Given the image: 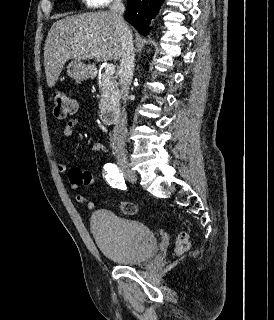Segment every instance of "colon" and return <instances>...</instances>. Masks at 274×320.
Segmentation results:
<instances>
[{
	"mask_svg": "<svg viewBox=\"0 0 274 320\" xmlns=\"http://www.w3.org/2000/svg\"><path fill=\"white\" fill-rule=\"evenodd\" d=\"M52 114L56 120L63 121L70 115L76 112V101L66 93L64 89L58 88L51 93ZM89 169L72 168L68 172V178L73 186H79L83 182L84 186H91L92 176L90 177ZM119 211L127 216H133L137 213V207L130 202H121L118 206ZM177 244L181 252L185 251L189 246V240L185 232H180L177 235Z\"/></svg>",
	"mask_w": 274,
	"mask_h": 320,
	"instance_id": "5ec220e1",
	"label": "colon"
}]
</instances>
